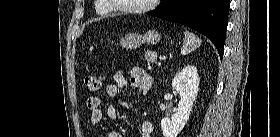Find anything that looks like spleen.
<instances>
[{
  "label": "spleen",
  "mask_w": 280,
  "mask_h": 137,
  "mask_svg": "<svg viewBox=\"0 0 280 137\" xmlns=\"http://www.w3.org/2000/svg\"><path fill=\"white\" fill-rule=\"evenodd\" d=\"M184 36L181 54L187 55L201 45V39L190 31H185Z\"/></svg>",
  "instance_id": "1"
}]
</instances>
